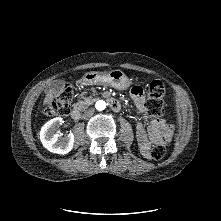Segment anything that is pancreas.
Masks as SVG:
<instances>
[{"instance_id": "obj_1", "label": "pancreas", "mask_w": 221, "mask_h": 221, "mask_svg": "<svg viewBox=\"0 0 221 221\" xmlns=\"http://www.w3.org/2000/svg\"><path fill=\"white\" fill-rule=\"evenodd\" d=\"M83 99V101H80L77 106L81 109H83L84 107L90 105L92 103V99L89 97H81Z\"/></svg>"}]
</instances>
